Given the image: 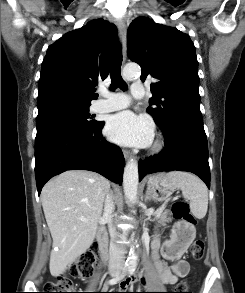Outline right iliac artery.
<instances>
[{"mask_svg":"<svg viewBox=\"0 0 245 293\" xmlns=\"http://www.w3.org/2000/svg\"><path fill=\"white\" fill-rule=\"evenodd\" d=\"M126 273H127V269L125 268L120 276L109 280V284L111 285L116 284L117 282H119V280H121L126 275Z\"/></svg>","mask_w":245,"mask_h":293,"instance_id":"right-iliac-artery-1","label":"right iliac artery"}]
</instances>
